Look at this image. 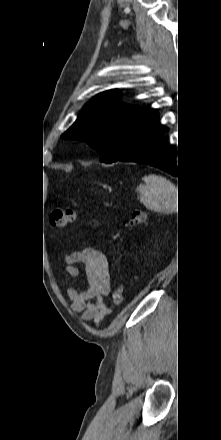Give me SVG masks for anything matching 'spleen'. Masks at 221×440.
Returning <instances> with one entry per match:
<instances>
[{
  "label": "spleen",
  "mask_w": 221,
  "mask_h": 440,
  "mask_svg": "<svg viewBox=\"0 0 221 440\" xmlns=\"http://www.w3.org/2000/svg\"><path fill=\"white\" fill-rule=\"evenodd\" d=\"M143 183L137 187L140 203L146 209L158 213H172L177 209V187L161 175H146Z\"/></svg>",
  "instance_id": "1"
}]
</instances>
